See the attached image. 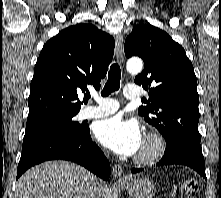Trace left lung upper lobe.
I'll use <instances>...</instances> for the list:
<instances>
[{
    "label": "left lung upper lobe",
    "instance_id": "obj_1",
    "mask_svg": "<svg viewBox=\"0 0 221 198\" xmlns=\"http://www.w3.org/2000/svg\"><path fill=\"white\" fill-rule=\"evenodd\" d=\"M125 55L139 56L144 71L134 82L148 90L138 114L155 126L166 142L178 139L200 141L198 132L199 96L192 63L185 50L166 32L137 25L126 38Z\"/></svg>",
    "mask_w": 221,
    "mask_h": 198
}]
</instances>
